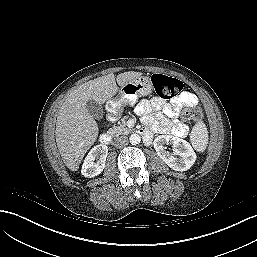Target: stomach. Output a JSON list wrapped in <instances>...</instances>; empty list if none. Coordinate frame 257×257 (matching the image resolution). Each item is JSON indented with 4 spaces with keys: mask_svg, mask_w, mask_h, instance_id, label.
Instances as JSON below:
<instances>
[{
    "mask_svg": "<svg viewBox=\"0 0 257 257\" xmlns=\"http://www.w3.org/2000/svg\"><path fill=\"white\" fill-rule=\"evenodd\" d=\"M151 92V79L149 77L140 76L121 87L119 91V102L132 105L139 96H147Z\"/></svg>",
    "mask_w": 257,
    "mask_h": 257,
    "instance_id": "stomach-1",
    "label": "stomach"
}]
</instances>
